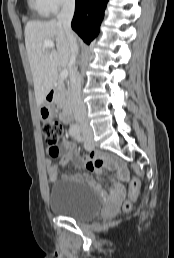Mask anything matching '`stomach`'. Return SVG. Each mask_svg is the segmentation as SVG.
<instances>
[{
	"label": "stomach",
	"instance_id": "1",
	"mask_svg": "<svg viewBox=\"0 0 174 258\" xmlns=\"http://www.w3.org/2000/svg\"><path fill=\"white\" fill-rule=\"evenodd\" d=\"M55 106L54 102L45 98L44 102L39 108V116L43 121H49L54 117Z\"/></svg>",
	"mask_w": 174,
	"mask_h": 258
}]
</instances>
